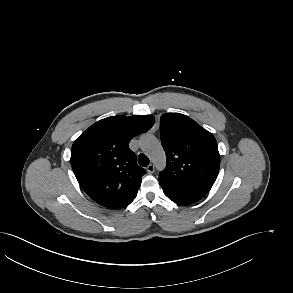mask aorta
<instances>
[{"instance_id": "obj_1", "label": "aorta", "mask_w": 293, "mask_h": 293, "mask_svg": "<svg viewBox=\"0 0 293 293\" xmlns=\"http://www.w3.org/2000/svg\"><path fill=\"white\" fill-rule=\"evenodd\" d=\"M141 146L147 152V154L157 167H163L165 163L164 152L160 143L155 137L151 135L143 137L141 141Z\"/></svg>"}]
</instances>
